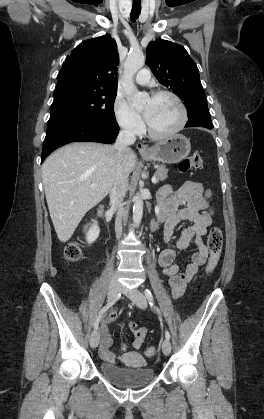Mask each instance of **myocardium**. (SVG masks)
<instances>
[{"mask_svg":"<svg viewBox=\"0 0 264 419\" xmlns=\"http://www.w3.org/2000/svg\"><path fill=\"white\" fill-rule=\"evenodd\" d=\"M161 96L170 97L175 101V103L177 104V106L179 108V111H180V120H179L178 124L173 129H171L167 132H164V133L155 132L150 127V125L147 123L146 129H147L148 135L151 138L156 139V140H164V139H168V138L176 135L178 132H180L183 129V127L187 123V119H188L186 106H185L184 102L182 101V99L176 93H174L170 90H158V91H155L152 94V98H157V97H161Z\"/></svg>","mask_w":264,"mask_h":419,"instance_id":"f54148a6","label":"myocardium"}]
</instances>
